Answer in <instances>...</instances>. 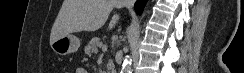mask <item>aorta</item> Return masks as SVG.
Returning a JSON list of instances; mask_svg holds the SVG:
<instances>
[{
  "mask_svg": "<svg viewBox=\"0 0 244 73\" xmlns=\"http://www.w3.org/2000/svg\"><path fill=\"white\" fill-rule=\"evenodd\" d=\"M121 73H131V58H130V56L125 57L123 64H122Z\"/></svg>",
  "mask_w": 244,
  "mask_h": 73,
  "instance_id": "aorta-1",
  "label": "aorta"
}]
</instances>
